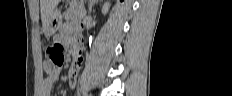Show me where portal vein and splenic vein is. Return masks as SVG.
I'll use <instances>...</instances> for the list:
<instances>
[{"instance_id": "18ae733b", "label": "portal vein and splenic vein", "mask_w": 232, "mask_h": 96, "mask_svg": "<svg viewBox=\"0 0 232 96\" xmlns=\"http://www.w3.org/2000/svg\"><path fill=\"white\" fill-rule=\"evenodd\" d=\"M85 13H86V12H85V11H83V12H82V15H81L80 17L82 18V17L85 15Z\"/></svg>"}]
</instances>
